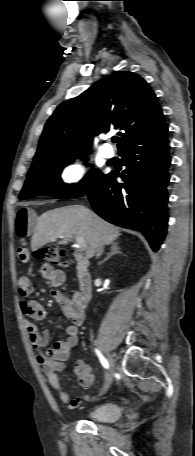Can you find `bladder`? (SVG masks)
<instances>
[{
    "instance_id": "obj_1",
    "label": "bladder",
    "mask_w": 195,
    "mask_h": 456,
    "mask_svg": "<svg viewBox=\"0 0 195 456\" xmlns=\"http://www.w3.org/2000/svg\"><path fill=\"white\" fill-rule=\"evenodd\" d=\"M122 414V409L115 403H102L93 407L88 412V417L96 422H114L117 421Z\"/></svg>"
}]
</instances>
